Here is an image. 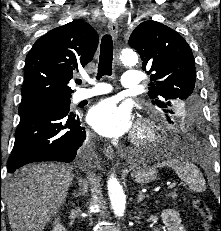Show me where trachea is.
Here are the masks:
<instances>
[{"label":"trachea","mask_w":221,"mask_h":231,"mask_svg":"<svg viewBox=\"0 0 221 231\" xmlns=\"http://www.w3.org/2000/svg\"><path fill=\"white\" fill-rule=\"evenodd\" d=\"M112 61H113V42L110 35L106 34L103 36L100 45V58L98 65V75L99 80L102 76H110L112 74ZM82 81L80 79L76 80V83L80 84Z\"/></svg>","instance_id":"1"}]
</instances>
